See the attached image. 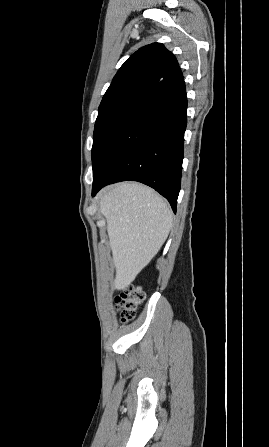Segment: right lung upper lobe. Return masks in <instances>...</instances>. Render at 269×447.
<instances>
[{"instance_id":"obj_1","label":"right lung upper lobe","mask_w":269,"mask_h":447,"mask_svg":"<svg viewBox=\"0 0 269 447\" xmlns=\"http://www.w3.org/2000/svg\"><path fill=\"white\" fill-rule=\"evenodd\" d=\"M181 80L178 62L163 44L144 46L124 62L113 78L98 116L123 107H145L164 89Z\"/></svg>"}]
</instances>
